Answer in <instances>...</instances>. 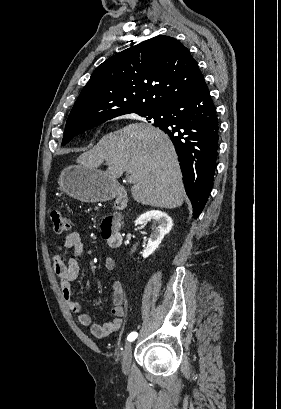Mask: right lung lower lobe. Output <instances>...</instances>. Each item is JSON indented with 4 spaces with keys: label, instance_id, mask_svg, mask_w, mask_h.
Wrapping results in <instances>:
<instances>
[{
    "label": "right lung lower lobe",
    "instance_id": "obj_1",
    "mask_svg": "<svg viewBox=\"0 0 281 409\" xmlns=\"http://www.w3.org/2000/svg\"><path fill=\"white\" fill-rule=\"evenodd\" d=\"M154 114L153 125L175 145L193 218H197L212 188L218 148L216 108L203 75L185 94Z\"/></svg>",
    "mask_w": 281,
    "mask_h": 409
}]
</instances>
